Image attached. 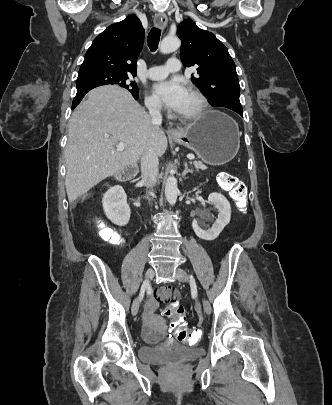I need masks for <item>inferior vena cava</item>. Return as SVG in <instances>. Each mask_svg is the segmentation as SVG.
I'll return each instance as SVG.
<instances>
[{
    "label": "inferior vena cava",
    "mask_w": 332,
    "mask_h": 405,
    "mask_svg": "<svg viewBox=\"0 0 332 405\" xmlns=\"http://www.w3.org/2000/svg\"><path fill=\"white\" fill-rule=\"evenodd\" d=\"M153 125H161L162 115L160 113L161 105L159 102L151 101L146 104ZM158 156L153 147L148 144L141 157L142 180L147 188H151L156 183L158 177ZM150 200V198H148Z\"/></svg>",
    "instance_id": "602c4592"
}]
</instances>
